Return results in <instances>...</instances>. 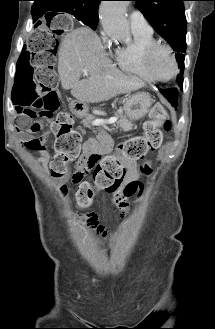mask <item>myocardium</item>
<instances>
[{
	"label": "myocardium",
	"mask_w": 215,
	"mask_h": 329,
	"mask_svg": "<svg viewBox=\"0 0 215 329\" xmlns=\"http://www.w3.org/2000/svg\"><path fill=\"white\" fill-rule=\"evenodd\" d=\"M159 49H166L168 51V53L170 54V57L174 64V70L168 78L157 77L154 74L152 67H151L153 55ZM142 66H143L145 73L149 76V78L152 81H156V82H168V81L172 80L177 75L178 70H179L178 60L176 58L174 49L169 44L157 42V41H155L154 43L147 46L145 48V50L143 51Z\"/></svg>",
	"instance_id": "1"
}]
</instances>
